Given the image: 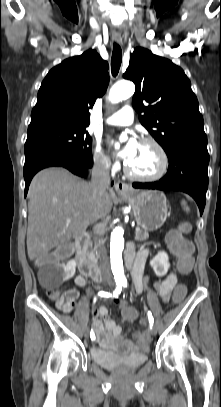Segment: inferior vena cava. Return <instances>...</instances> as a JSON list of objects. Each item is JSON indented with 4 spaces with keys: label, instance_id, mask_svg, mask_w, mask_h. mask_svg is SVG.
Listing matches in <instances>:
<instances>
[{
    "label": "inferior vena cava",
    "instance_id": "602c4592",
    "mask_svg": "<svg viewBox=\"0 0 221 407\" xmlns=\"http://www.w3.org/2000/svg\"><path fill=\"white\" fill-rule=\"evenodd\" d=\"M110 185L109 164L106 161H96L92 168L90 186L93 197L96 201H101ZM93 241L100 244L97 237L93 236ZM100 268L104 275H110V265L106 250L100 248Z\"/></svg>",
    "mask_w": 221,
    "mask_h": 407
}]
</instances>
